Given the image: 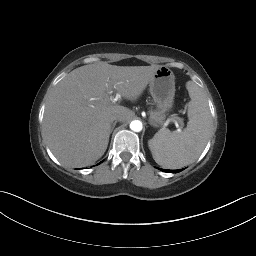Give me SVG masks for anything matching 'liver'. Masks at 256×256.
<instances>
[{
  "mask_svg": "<svg viewBox=\"0 0 256 256\" xmlns=\"http://www.w3.org/2000/svg\"><path fill=\"white\" fill-rule=\"evenodd\" d=\"M160 65L116 66L107 62L84 65L66 75L47 102L43 132L55 157L65 166L93 164L105 153L111 133V116L128 120L133 112L114 104V88L135 101Z\"/></svg>",
  "mask_w": 256,
  "mask_h": 256,
  "instance_id": "6515ba94",
  "label": "liver"
}]
</instances>
